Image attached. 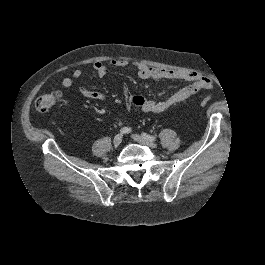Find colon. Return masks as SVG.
<instances>
[{
  "label": "colon",
  "mask_w": 265,
  "mask_h": 265,
  "mask_svg": "<svg viewBox=\"0 0 265 265\" xmlns=\"http://www.w3.org/2000/svg\"><path fill=\"white\" fill-rule=\"evenodd\" d=\"M61 97L62 94L59 91L44 94L36 99L35 107L40 112H47L57 104ZM209 100L210 97L202 99L200 105L205 106L209 102Z\"/></svg>",
  "instance_id": "obj_1"
}]
</instances>
